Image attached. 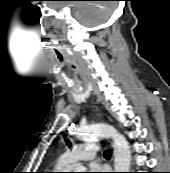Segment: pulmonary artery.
Wrapping results in <instances>:
<instances>
[{
    "mask_svg": "<svg viewBox=\"0 0 170 173\" xmlns=\"http://www.w3.org/2000/svg\"><path fill=\"white\" fill-rule=\"evenodd\" d=\"M98 147L92 142L78 144L62 155V159L68 165L79 161H89L96 157Z\"/></svg>",
    "mask_w": 170,
    "mask_h": 173,
    "instance_id": "e3ab8cb5",
    "label": "pulmonary artery"
}]
</instances>
